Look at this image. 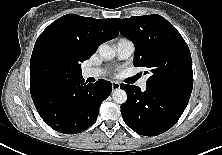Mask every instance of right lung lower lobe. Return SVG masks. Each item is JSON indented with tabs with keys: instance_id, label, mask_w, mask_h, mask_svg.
I'll return each mask as SVG.
<instances>
[{
	"instance_id": "1",
	"label": "right lung lower lobe",
	"mask_w": 222,
	"mask_h": 155,
	"mask_svg": "<svg viewBox=\"0 0 222 155\" xmlns=\"http://www.w3.org/2000/svg\"><path fill=\"white\" fill-rule=\"evenodd\" d=\"M82 75L63 79L49 89L31 93L41 118L64 134L85 131L97 119L101 103L111 94L109 81L84 83Z\"/></svg>"
}]
</instances>
